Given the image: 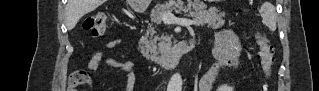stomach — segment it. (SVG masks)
<instances>
[{"label":"stomach","instance_id":"1","mask_svg":"<svg viewBox=\"0 0 319 91\" xmlns=\"http://www.w3.org/2000/svg\"><path fill=\"white\" fill-rule=\"evenodd\" d=\"M143 2H146V0H142ZM194 2H198V1H194Z\"/></svg>","mask_w":319,"mask_h":91}]
</instances>
